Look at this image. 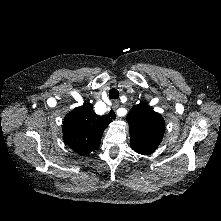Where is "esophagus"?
<instances>
[{"label":"esophagus","mask_w":221,"mask_h":221,"mask_svg":"<svg viewBox=\"0 0 221 221\" xmlns=\"http://www.w3.org/2000/svg\"><path fill=\"white\" fill-rule=\"evenodd\" d=\"M119 107V101H114L113 104H112V111H111V116L114 118V119H118V115L116 114V109Z\"/></svg>","instance_id":"1"}]
</instances>
